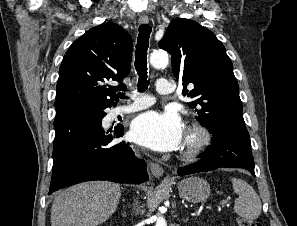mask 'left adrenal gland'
Segmentation results:
<instances>
[{
  "label": "left adrenal gland",
  "mask_w": 297,
  "mask_h": 226,
  "mask_svg": "<svg viewBox=\"0 0 297 226\" xmlns=\"http://www.w3.org/2000/svg\"><path fill=\"white\" fill-rule=\"evenodd\" d=\"M183 221H184V222H187V221H188V219H183Z\"/></svg>",
  "instance_id": "a2214340"
}]
</instances>
